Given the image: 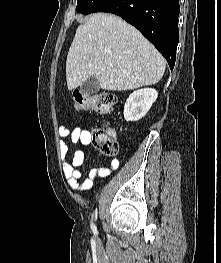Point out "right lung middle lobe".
<instances>
[{
	"label": "right lung middle lobe",
	"mask_w": 221,
	"mask_h": 263,
	"mask_svg": "<svg viewBox=\"0 0 221 263\" xmlns=\"http://www.w3.org/2000/svg\"><path fill=\"white\" fill-rule=\"evenodd\" d=\"M105 0H77V12L87 15L93 11Z\"/></svg>",
	"instance_id": "dd1d6c3e"
}]
</instances>
